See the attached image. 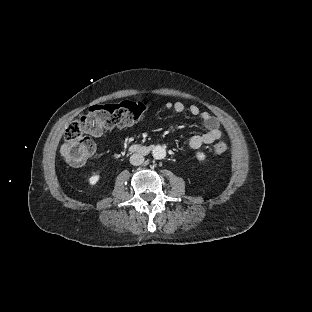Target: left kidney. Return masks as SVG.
I'll return each mask as SVG.
<instances>
[{
    "label": "left kidney",
    "instance_id": "1",
    "mask_svg": "<svg viewBox=\"0 0 312 312\" xmlns=\"http://www.w3.org/2000/svg\"><path fill=\"white\" fill-rule=\"evenodd\" d=\"M194 157L198 162L204 163L207 160V154L203 150H197Z\"/></svg>",
    "mask_w": 312,
    "mask_h": 312
}]
</instances>
